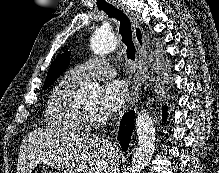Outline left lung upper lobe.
<instances>
[{
	"label": "left lung upper lobe",
	"instance_id": "obj_1",
	"mask_svg": "<svg viewBox=\"0 0 219 173\" xmlns=\"http://www.w3.org/2000/svg\"><path fill=\"white\" fill-rule=\"evenodd\" d=\"M69 55V52L66 51L54 60L47 73V77L43 85V90L50 87L54 81L62 74V72L68 68L70 61Z\"/></svg>",
	"mask_w": 219,
	"mask_h": 173
}]
</instances>
